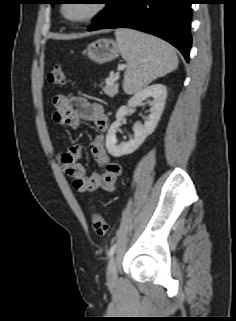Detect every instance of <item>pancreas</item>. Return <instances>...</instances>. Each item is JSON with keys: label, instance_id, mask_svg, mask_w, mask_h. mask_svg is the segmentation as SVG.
Returning <instances> with one entry per match:
<instances>
[{"label": "pancreas", "instance_id": "obj_1", "mask_svg": "<svg viewBox=\"0 0 236 321\" xmlns=\"http://www.w3.org/2000/svg\"><path fill=\"white\" fill-rule=\"evenodd\" d=\"M111 77V76H110ZM109 77V78H110ZM108 78V79H109ZM106 79V85L102 88V90L104 91V93L108 96H114L118 93V84L115 83V80H113L112 82H110L109 84H107V80Z\"/></svg>", "mask_w": 236, "mask_h": 321}]
</instances>
